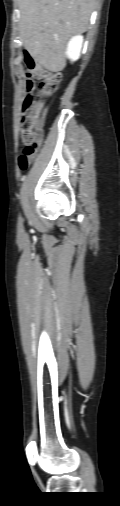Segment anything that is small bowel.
I'll list each match as a JSON object with an SVG mask.
<instances>
[{
	"label": "small bowel",
	"instance_id": "c3829d8e",
	"mask_svg": "<svg viewBox=\"0 0 120 506\" xmlns=\"http://www.w3.org/2000/svg\"><path fill=\"white\" fill-rule=\"evenodd\" d=\"M32 89H33V82L31 84L27 85L28 91H32Z\"/></svg>",
	"mask_w": 120,
	"mask_h": 506
}]
</instances>
